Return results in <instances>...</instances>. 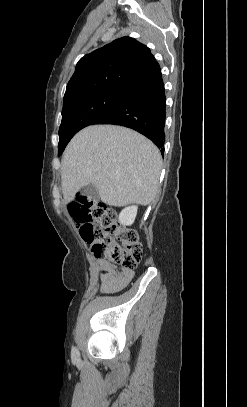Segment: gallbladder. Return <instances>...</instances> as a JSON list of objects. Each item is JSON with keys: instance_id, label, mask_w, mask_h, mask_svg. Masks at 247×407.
I'll return each mask as SVG.
<instances>
[{"instance_id": "gallbladder-1", "label": "gallbladder", "mask_w": 247, "mask_h": 407, "mask_svg": "<svg viewBox=\"0 0 247 407\" xmlns=\"http://www.w3.org/2000/svg\"><path fill=\"white\" fill-rule=\"evenodd\" d=\"M81 194L93 201H98L100 198L98 189L94 184L84 186L81 190Z\"/></svg>"}]
</instances>
